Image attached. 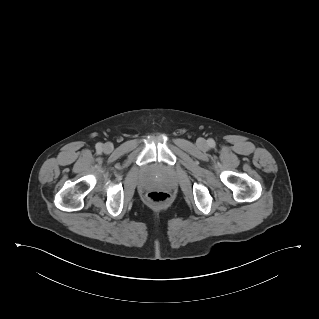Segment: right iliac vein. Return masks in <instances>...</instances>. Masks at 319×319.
Returning <instances> with one entry per match:
<instances>
[{"mask_svg": "<svg viewBox=\"0 0 319 319\" xmlns=\"http://www.w3.org/2000/svg\"><path fill=\"white\" fill-rule=\"evenodd\" d=\"M103 149L105 152H111L112 149H113V146L111 143H106L104 146H103Z\"/></svg>", "mask_w": 319, "mask_h": 319, "instance_id": "right-iliac-vein-1", "label": "right iliac vein"}]
</instances>
